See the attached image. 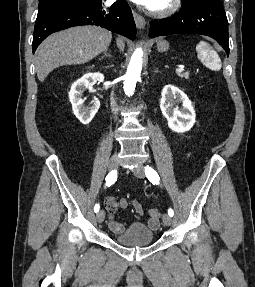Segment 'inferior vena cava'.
<instances>
[{
  "instance_id": "1",
  "label": "inferior vena cava",
  "mask_w": 255,
  "mask_h": 287,
  "mask_svg": "<svg viewBox=\"0 0 255 287\" xmlns=\"http://www.w3.org/2000/svg\"><path fill=\"white\" fill-rule=\"evenodd\" d=\"M113 96H114V94L112 92L111 98H110V100H111V110H112L113 114H117L119 108H118V106H117V104L115 102V98H113Z\"/></svg>"
}]
</instances>
